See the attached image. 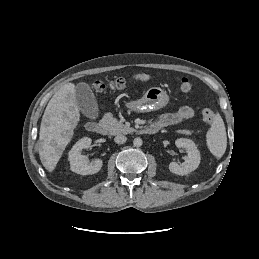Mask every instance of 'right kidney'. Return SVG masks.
Wrapping results in <instances>:
<instances>
[{
    "instance_id": "1",
    "label": "right kidney",
    "mask_w": 259,
    "mask_h": 259,
    "mask_svg": "<svg viewBox=\"0 0 259 259\" xmlns=\"http://www.w3.org/2000/svg\"><path fill=\"white\" fill-rule=\"evenodd\" d=\"M92 143L91 138L83 137L72 147L69 152L70 168L73 172L80 175H92L98 173L102 166L103 161L96 159L91 163H87L85 156L81 154L83 149L90 147Z\"/></svg>"
}]
</instances>
